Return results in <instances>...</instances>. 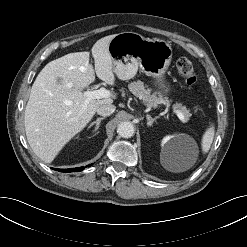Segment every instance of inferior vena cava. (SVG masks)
Returning <instances> with one entry per match:
<instances>
[{"label":"inferior vena cava","mask_w":247,"mask_h":247,"mask_svg":"<svg viewBox=\"0 0 247 247\" xmlns=\"http://www.w3.org/2000/svg\"><path fill=\"white\" fill-rule=\"evenodd\" d=\"M116 107L112 104H104L100 105L97 109V114L101 116H110L111 114L114 113Z\"/></svg>","instance_id":"obj_1"}]
</instances>
